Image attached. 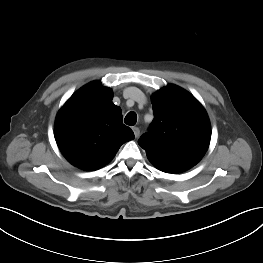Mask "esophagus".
Masks as SVG:
<instances>
[{"mask_svg": "<svg viewBox=\"0 0 263 263\" xmlns=\"http://www.w3.org/2000/svg\"><path fill=\"white\" fill-rule=\"evenodd\" d=\"M132 130H133V132H134L135 137L138 138L139 135H140V130H139V128H138V127H133Z\"/></svg>", "mask_w": 263, "mask_h": 263, "instance_id": "esophagus-1", "label": "esophagus"}]
</instances>
